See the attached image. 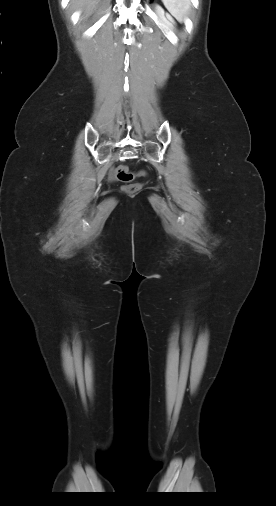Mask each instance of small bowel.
<instances>
[{"mask_svg": "<svg viewBox=\"0 0 276 506\" xmlns=\"http://www.w3.org/2000/svg\"><path fill=\"white\" fill-rule=\"evenodd\" d=\"M111 178H115V172L113 170L111 171Z\"/></svg>", "mask_w": 276, "mask_h": 506, "instance_id": "c3829d8e", "label": "small bowel"}]
</instances>
